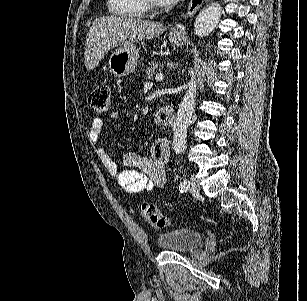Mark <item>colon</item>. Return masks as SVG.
Segmentation results:
<instances>
[{
    "label": "colon",
    "mask_w": 307,
    "mask_h": 301,
    "mask_svg": "<svg viewBox=\"0 0 307 301\" xmlns=\"http://www.w3.org/2000/svg\"><path fill=\"white\" fill-rule=\"evenodd\" d=\"M88 103L96 112H106L110 106V91L106 85L95 87L89 94ZM140 213L145 221L154 228H164L168 225V219L152 203H143Z\"/></svg>",
    "instance_id": "1"
}]
</instances>
